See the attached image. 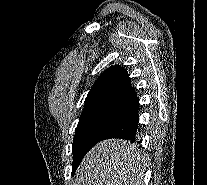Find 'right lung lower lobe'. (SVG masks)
<instances>
[{
  "label": "right lung lower lobe",
  "mask_w": 207,
  "mask_h": 185,
  "mask_svg": "<svg viewBox=\"0 0 207 185\" xmlns=\"http://www.w3.org/2000/svg\"><path fill=\"white\" fill-rule=\"evenodd\" d=\"M138 108L139 101H137L130 109L126 110L123 115L102 135L99 141L111 138L135 141V135L139 123Z\"/></svg>",
  "instance_id": "98d812e1"
}]
</instances>
